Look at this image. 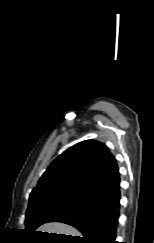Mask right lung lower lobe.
I'll return each instance as SVG.
<instances>
[{"instance_id":"1","label":"right lung lower lobe","mask_w":154,"mask_h":243,"mask_svg":"<svg viewBox=\"0 0 154 243\" xmlns=\"http://www.w3.org/2000/svg\"><path fill=\"white\" fill-rule=\"evenodd\" d=\"M120 184L105 190L78 207L66 208L49 218L74 226L83 233L78 243H118L115 241L119 218Z\"/></svg>"}]
</instances>
